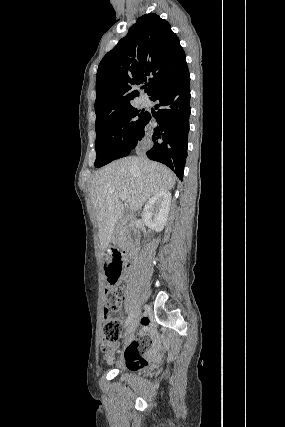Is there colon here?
<instances>
[{"instance_id":"colon-1","label":"colon","mask_w":285,"mask_h":427,"mask_svg":"<svg viewBox=\"0 0 285 427\" xmlns=\"http://www.w3.org/2000/svg\"><path fill=\"white\" fill-rule=\"evenodd\" d=\"M124 271V262L117 253L109 254L105 261V274L110 287L105 289V317L102 331V349L110 355L115 352L117 343L123 332V322L112 316L120 309L122 291L117 286Z\"/></svg>"}]
</instances>
